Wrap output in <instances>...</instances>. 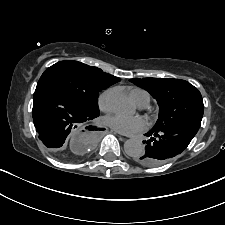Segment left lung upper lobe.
<instances>
[{"label": "left lung upper lobe", "mask_w": 225, "mask_h": 225, "mask_svg": "<svg viewBox=\"0 0 225 225\" xmlns=\"http://www.w3.org/2000/svg\"><path fill=\"white\" fill-rule=\"evenodd\" d=\"M129 81L148 91L158 102L159 118L153 130L160 131L189 121L201 123L202 96L189 82L172 78H134Z\"/></svg>", "instance_id": "5c2ea615"}]
</instances>
